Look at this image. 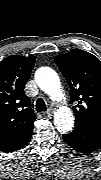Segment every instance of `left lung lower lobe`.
Segmentation results:
<instances>
[{
	"label": "left lung lower lobe",
	"instance_id": "1",
	"mask_svg": "<svg viewBox=\"0 0 101 180\" xmlns=\"http://www.w3.org/2000/svg\"><path fill=\"white\" fill-rule=\"evenodd\" d=\"M63 139L75 151L89 154L100 147L101 133L89 128L76 126L72 132L64 134Z\"/></svg>",
	"mask_w": 101,
	"mask_h": 180
}]
</instances>
